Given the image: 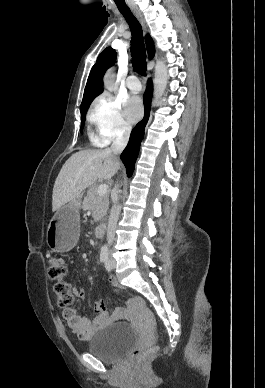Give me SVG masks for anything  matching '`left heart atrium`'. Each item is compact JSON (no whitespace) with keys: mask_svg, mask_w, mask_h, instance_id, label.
<instances>
[{"mask_svg":"<svg viewBox=\"0 0 265 388\" xmlns=\"http://www.w3.org/2000/svg\"><path fill=\"white\" fill-rule=\"evenodd\" d=\"M142 103L138 96H131L125 104V114L131 121H137L142 115Z\"/></svg>","mask_w":265,"mask_h":388,"instance_id":"39dd6f15","label":"left heart atrium"}]
</instances>
